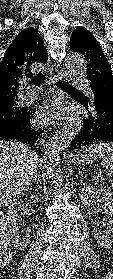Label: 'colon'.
<instances>
[{"mask_svg":"<svg viewBox=\"0 0 113 279\" xmlns=\"http://www.w3.org/2000/svg\"><path fill=\"white\" fill-rule=\"evenodd\" d=\"M10 252V241L5 224L0 215V259L8 256Z\"/></svg>","mask_w":113,"mask_h":279,"instance_id":"1","label":"colon"}]
</instances>
